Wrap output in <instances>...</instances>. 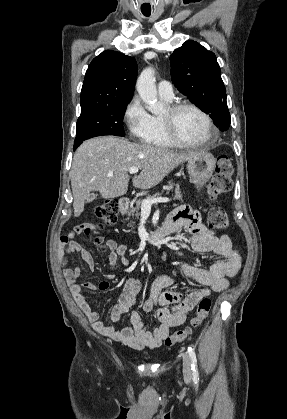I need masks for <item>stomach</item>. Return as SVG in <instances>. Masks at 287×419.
Instances as JSON below:
<instances>
[{
	"label": "stomach",
	"mask_w": 287,
	"mask_h": 419,
	"mask_svg": "<svg viewBox=\"0 0 287 419\" xmlns=\"http://www.w3.org/2000/svg\"><path fill=\"white\" fill-rule=\"evenodd\" d=\"M215 166L216 160L208 152H200L197 156L188 160L187 170L197 188H201L210 180Z\"/></svg>",
	"instance_id": "0dacf381"
}]
</instances>
